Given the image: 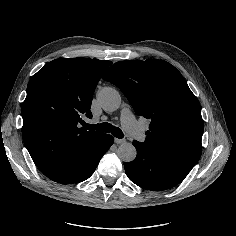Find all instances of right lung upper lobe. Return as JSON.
Returning a JSON list of instances; mask_svg holds the SVG:
<instances>
[{
	"label": "right lung upper lobe",
	"mask_w": 236,
	"mask_h": 236,
	"mask_svg": "<svg viewBox=\"0 0 236 236\" xmlns=\"http://www.w3.org/2000/svg\"><path fill=\"white\" fill-rule=\"evenodd\" d=\"M111 61L60 58L30 79L22 104L23 141L37 167L54 174L71 152L101 135L78 123L90 111L96 85Z\"/></svg>",
	"instance_id": "right-lung-upper-lobe-1"
}]
</instances>
